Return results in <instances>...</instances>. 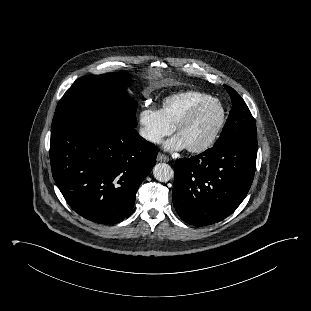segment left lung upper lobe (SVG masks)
<instances>
[{"mask_svg":"<svg viewBox=\"0 0 311 311\" xmlns=\"http://www.w3.org/2000/svg\"><path fill=\"white\" fill-rule=\"evenodd\" d=\"M232 101V109L222 133L214 146H222L230 141L241 139H257V129L254 118L246 103L231 87L224 85Z\"/></svg>","mask_w":311,"mask_h":311,"instance_id":"1","label":"left lung upper lobe"}]
</instances>
